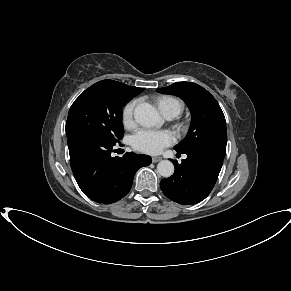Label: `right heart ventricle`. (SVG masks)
<instances>
[{"mask_svg": "<svg viewBox=\"0 0 291 291\" xmlns=\"http://www.w3.org/2000/svg\"><path fill=\"white\" fill-rule=\"evenodd\" d=\"M159 110L166 116H178L184 109V103L179 98L174 96L164 95L157 99Z\"/></svg>", "mask_w": 291, "mask_h": 291, "instance_id": "right-heart-ventricle-1", "label": "right heart ventricle"}]
</instances>
